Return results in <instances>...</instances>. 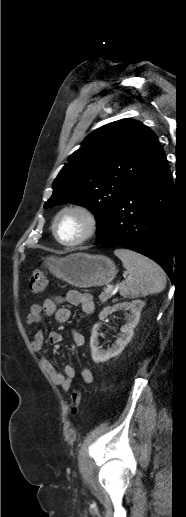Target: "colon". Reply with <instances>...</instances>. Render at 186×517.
<instances>
[{"label": "colon", "instance_id": "5ec220e1", "mask_svg": "<svg viewBox=\"0 0 186 517\" xmlns=\"http://www.w3.org/2000/svg\"><path fill=\"white\" fill-rule=\"evenodd\" d=\"M47 284V274L43 269H35L32 271L29 278V289L31 292L38 294L42 292ZM81 391L79 389H74L71 392V411L73 414H76L78 411V407L81 402Z\"/></svg>", "mask_w": 186, "mask_h": 517}]
</instances>
